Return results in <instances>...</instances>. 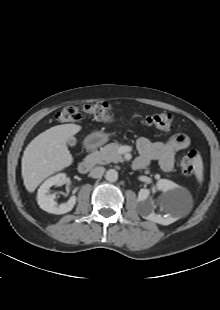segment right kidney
<instances>
[{
	"label": "right kidney",
	"mask_w": 220,
	"mask_h": 310,
	"mask_svg": "<svg viewBox=\"0 0 220 310\" xmlns=\"http://www.w3.org/2000/svg\"><path fill=\"white\" fill-rule=\"evenodd\" d=\"M65 180L66 174L59 173L44 181L37 193V201L41 209L53 214H65L73 209L76 203V196H71L67 203L57 206V203L55 202V195L49 194V189L51 186H62L65 183Z\"/></svg>",
	"instance_id": "obj_1"
}]
</instances>
